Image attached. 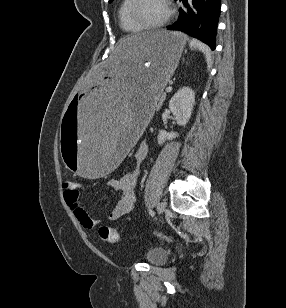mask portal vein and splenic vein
Here are the masks:
<instances>
[{"label":"portal vein and splenic vein","instance_id":"obj_1","mask_svg":"<svg viewBox=\"0 0 286 308\" xmlns=\"http://www.w3.org/2000/svg\"><path fill=\"white\" fill-rule=\"evenodd\" d=\"M171 89H172L171 87H167L166 91H171Z\"/></svg>","mask_w":286,"mask_h":308}]
</instances>
